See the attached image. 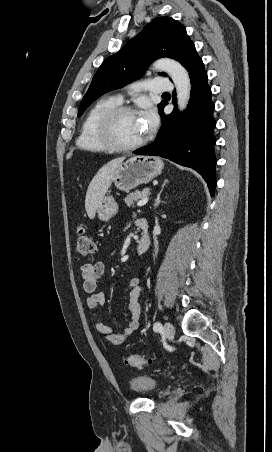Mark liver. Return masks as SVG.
Segmentation results:
<instances>
[{"label": "liver", "mask_w": 272, "mask_h": 452, "mask_svg": "<svg viewBox=\"0 0 272 452\" xmlns=\"http://www.w3.org/2000/svg\"><path fill=\"white\" fill-rule=\"evenodd\" d=\"M125 158L126 157L123 156L108 162L99 169L90 182L85 198V209L90 219L95 217L96 209L110 188L116 169Z\"/></svg>", "instance_id": "6515ba94"}]
</instances>
